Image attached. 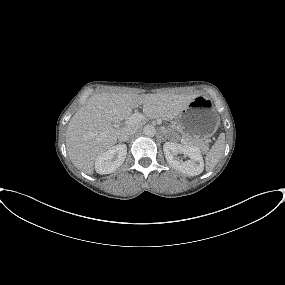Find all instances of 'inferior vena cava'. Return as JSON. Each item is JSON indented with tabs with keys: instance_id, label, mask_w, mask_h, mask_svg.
Returning a JSON list of instances; mask_svg holds the SVG:
<instances>
[{
	"instance_id": "obj_1",
	"label": "inferior vena cava",
	"mask_w": 285,
	"mask_h": 285,
	"mask_svg": "<svg viewBox=\"0 0 285 285\" xmlns=\"http://www.w3.org/2000/svg\"><path fill=\"white\" fill-rule=\"evenodd\" d=\"M137 129L130 127V126H124L120 128L118 131V140L119 141H127L129 138L136 132Z\"/></svg>"
}]
</instances>
